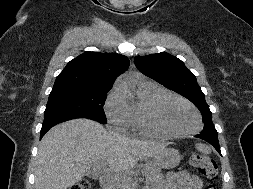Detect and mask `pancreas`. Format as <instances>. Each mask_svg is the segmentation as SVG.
<instances>
[{
    "label": "pancreas",
    "instance_id": "1",
    "mask_svg": "<svg viewBox=\"0 0 253 189\" xmlns=\"http://www.w3.org/2000/svg\"><path fill=\"white\" fill-rule=\"evenodd\" d=\"M147 179L151 184H158L163 180V174L161 173L160 168L152 167L147 170ZM118 187L122 189L130 188V179L126 175H118L116 177Z\"/></svg>",
    "mask_w": 253,
    "mask_h": 189
}]
</instances>
